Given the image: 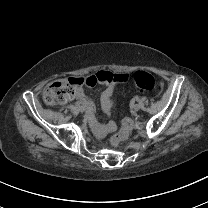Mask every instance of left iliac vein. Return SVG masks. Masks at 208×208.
<instances>
[{
	"label": "left iliac vein",
	"instance_id": "4c4485c4",
	"mask_svg": "<svg viewBox=\"0 0 208 208\" xmlns=\"http://www.w3.org/2000/svg\"><path fill=\"white\" fill-rule=\"evenodd\" d=\"M133 110L136 112V111H139L140 110V105L139 104H135L133 106Z\"/></svg>",
	"mask_w": 208,
	"mask_h": 208
}]
</instances>
